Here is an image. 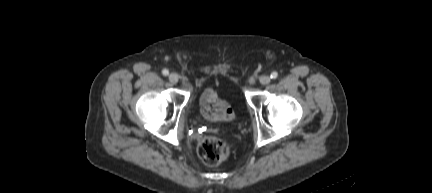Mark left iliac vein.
Returning a JSON list of instances; mask_svg holds the SVG:
<instances>
[{
  "label": "left iliac vein",
  "instance_id": "obj_1",
  "mask_svg": "<svg viewBox=\"0 0 432 193\" xmlns=\"http://www.w3.org/2000/svg\"><path fill=\"white\" fill-rule=\"evenodd\" d=\"M270 81H271V78H270L269 76H267V75H264V76H262V77L260 78V83H261L262 85H267V84L270 83Z\"/></svg>",
  "mask_w": 432,
  "mask_h": 193
}]
</instances>
